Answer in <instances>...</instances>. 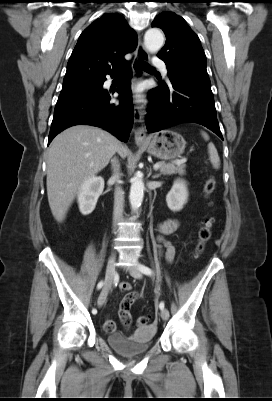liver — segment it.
<instances>
[{
  "instance_id": "liver-1",
  "label": "liver",
  "mask_w": 272,
  "mask_h": 401,
  "mask_svg": "<svg viewBox=\"0 0 272 401\" xmlns=\"http://www.w3.org/2000/svg\"><path fill=\"white\" fill-rule=\"evenodd\" d=\"M115 152L126 157L128 149L98 127L76 125L54 138L47 157V195L58 222L65 219L81 184L105 168Z\"/></svg>"
}]
</instances>
